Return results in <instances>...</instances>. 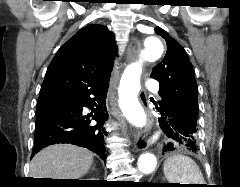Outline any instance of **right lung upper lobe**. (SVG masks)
<instances>
[{
  "mask_svg": "<svg viewBox=\"0 0 240 187\" xmlns=\"http://www.w3.org/2000/svg\"><path fill=\"white\" fill-rule=\"evenodd\" d=\"M117 47L114 34L101 25H88L61 46L51 61L39 102L73 96L94 83L110 79Z\"/></svg>",
  "mask_w": 240,
  "mask_h": 187,
  "instance_id": "right-lung-upper-lobe-1",
  "label": "right lung upper lobe"
}]
</instances>
